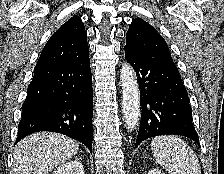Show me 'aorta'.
I'll return each mask as SVG.
<instances>
[{
    "label": "aorta",
    "instance_id": "obj_1",
    "mask_svg": "<svg viewBox=\"0 0 224 174\" xmlns=\"http://www.w3.org/2000/svg\"><path fill=\"white\" fill-rule=\"evenodd\" d=\"M120 85L122 87L123 116L129 131L136 128L141 114L140 92L134 69L128 63L122 65L120 71Z\"/></svg>",
    "mask_w": 224,
    "mask_h": 174
}]
</instances>
